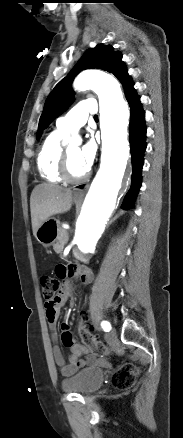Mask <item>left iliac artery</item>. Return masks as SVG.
Listing matches in <instances>:
<instances>
[{"mask_svg": "<svg viewBox=\"0 0 183 438\" xmlns=\"http://www.w3.org/2000/svg\"><path fill=\"white\" fill-rule=\"evenodd\" d=\"M101 327L106 332L111 330V324L108 321H102L101 322Z\"/></svg>", "mask_w": 183, "mask_h": 438, "instance_id": "left-iliac-artery-1", "label": "left iliac artery"}]
</instances>
